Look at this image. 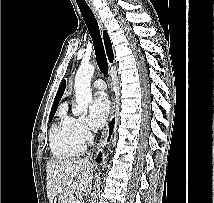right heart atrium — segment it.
I'll use <instances>...</instances> for the list:
<instances>
[{
	"label": "right heart atrium",
	"mask_w": 214,
	"mask_h": 203,
	"mask_svg": "<svg viewBox=\"0 0 214 203\" xmlns=\"http://www.w3.org/2000/svg\"><path fill=\"white\" fill-rule=\"evenodd\" d=\"M73 132L77 139L85 144L93 136L94 129L90 122L84 118H70Z\"/></svg>",
	"instance_id": "obj_1"
}]
</instances>
